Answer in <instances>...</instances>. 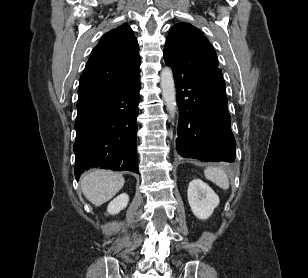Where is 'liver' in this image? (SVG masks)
Listing matches in <instances>:
<instances>
[{
    "mask_svg": "<svg viewBox=\"0 0 308 278\" xmlns=\"http://www.w3.org/2000/svg\"><path fill=\"white\" fill-rule=\"evenodd\" d=\"M124 183L121 174L102 169L90 171L80 180L84 196L97 207L115 196Z\"/></svg>",
    "mask_w": 308,
    "mask_h": 278,
    "instance_id": "liver-1",
    "label": "liver"
}]
</instances>
